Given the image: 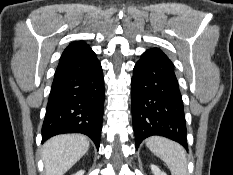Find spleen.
<instances>
[{
	"label": "spleen",
	"mask_w": 233,
	"mask_h": 175,
	"mask_svg": "<svg viewBox=\"0 0 233 175\" xmlns=\"http://www.w3.org/2000/svg\"><path fill=\"white\" fill-rule=\"evenodd\" d=\"M146 146L167 164L172 175H188L186 152L180 144L160 136H152L146 140Z\"/></svg>",
	"instance_id": "obj_1"
}]
</instances>
